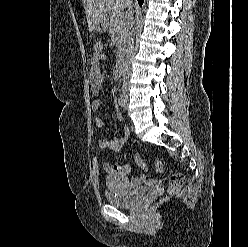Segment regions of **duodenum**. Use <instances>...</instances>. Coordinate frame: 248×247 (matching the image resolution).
Here are the masks:
<instances>
[{
    "instance_id": "duodenum-1",
    "label": "duodenum",
    "mask_w": 248,
    "mask_h": 247,
    "mask_svg": "<svg viewBox=\"0 0 248 247\" xmlns=\"http://www.w3.org/2000/svg\"><path fill=\"white\" fill-rule=\"evenodd\" d=\"M126 58L123 54H120L117 58L116 69L119 73H123L125 70Z\"/></svg>"
}]
</instances>
